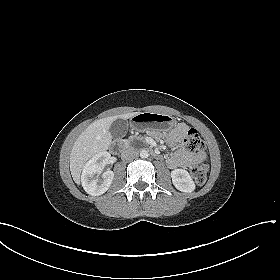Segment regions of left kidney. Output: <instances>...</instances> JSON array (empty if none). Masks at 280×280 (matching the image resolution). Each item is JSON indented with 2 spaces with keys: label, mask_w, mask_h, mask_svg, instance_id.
I'll list each match as a JSON object with an SVG mask.
<instances>
[{
  "label": "left kidney",
  "mask_w": 280,
  "mask_h": 280,
  "mask_svg": "<svg viewBox=\"0 0 280 280\" xmlns=\"http://www.w3.org/2000/svg\"><path fill=\"white\" fill-rule=\"evenodd\" d=\"M173 185L179 191L190 193L195 190V183L190 174L184 169L171 171Z\"/></svg>",
  "instance_id": "1"
}]
</instances>
